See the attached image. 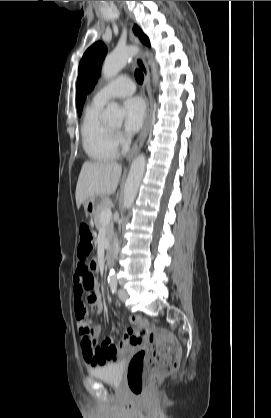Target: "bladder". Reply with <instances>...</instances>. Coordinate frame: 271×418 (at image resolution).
<instances>
[{
  "instance_id": "1",
  "label": "bladder",
  "mask_w": 271,
  "mask_h": 418,
  "mask_svg": "<svg viewBox=\"0 0 271 418\" xmlns=\"http://www.w3.org/2000/svg\"><path fill=\"white\" fill-rule=\"evenodd\" d=\"M124 363L122 361H113L101 366L91 368V376L111 384H120L123 377Z\"/></svg>"
}]
</instances>
